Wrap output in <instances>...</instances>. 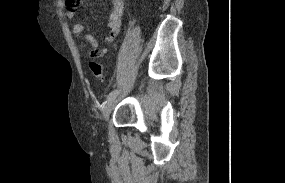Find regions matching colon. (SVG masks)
Instances as JSON below:
<instances>
[{
  "instance_id": "colon-1",
  "label": "colon",
  "mask_w": 285,
  "mask_h": 183,
  "mask_svg": "<svg viewBox=\"0 0 285 183\" xmlns=\"http://www.w3.org/2000/svg\"><path fill=\"white\" fill-rule=\"evenodd\" d=\"M77 0H66V4L69 8L74 9V4ZM90 70L96 80L99 82H104L106 80V74L104 72V68L102 64L92 61L89 63Z\"/></svg>"
}]
</instances>
